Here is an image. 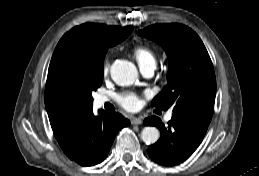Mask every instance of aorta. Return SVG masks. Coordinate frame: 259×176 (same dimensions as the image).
<instances>
[{
  "mask_svg": "<svg viewBox=\"0 0 259 176\" xmlns=\"http://www.w3.org/2000/svg\"><path fill=\"white\" fill-rule=\"evenodd\" d=\"M110 74L113 81L121 86L133 84L138 77L136 66L127 60H116L110 68ZM159 137L160 132L156 127L147 126L141 132V139L146 144L156 143Z\"/></svg>",
  "mask_w": 259,
  "mask_h": 176,
  "instance_id": "aorta-1",
  "label": "aorta"
}]
</instances>
